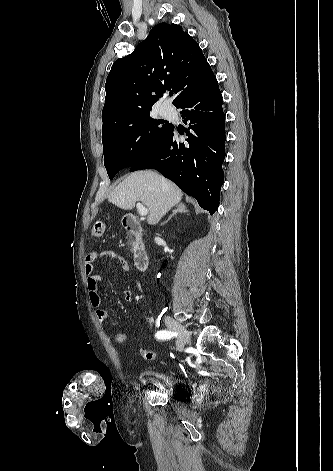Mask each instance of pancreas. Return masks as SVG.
<instances>
[{
  "label": "pancreas",
  "mask_w": 333,
  "mask_h": 471,
  "mask_svg": "<svg viewBox=\"0 0 333 471\" xmlns=\"http://www.w3.org/2000/svg\"><path fill=\"white\" fill-rule=\"evenodd\" d=\"M131 242H132V237H130V238H129V240H128V243H127V244H131Z\"/></svg>",
  "instance_id": "obj_1"
}]
</instances>
